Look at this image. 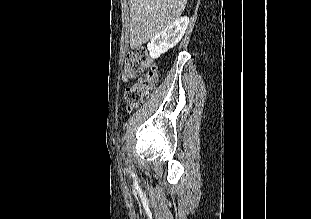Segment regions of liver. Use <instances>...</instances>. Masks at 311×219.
Instances as JSON below:
<instances>
[{
  "label": "liver",
  "instance_id": "obj_1",
  "mask_svg": "<svg viewBox=\"0 0 311 219\" xmlns=\"http://www.w3.org/2000/svg\"><path fill=\"white\" fill-rule=\"evenodd\" d=\"M187 0H129L130 47L136 49L175 22Z\"/></svg>",
  "mask_w": 311,
  "mask_h": 219
}]
</instances>
